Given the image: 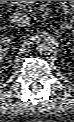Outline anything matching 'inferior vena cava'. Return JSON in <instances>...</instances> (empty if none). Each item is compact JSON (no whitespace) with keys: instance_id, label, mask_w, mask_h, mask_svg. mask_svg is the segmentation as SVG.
Listing matches in <instances>:
<instances>
[{"instance_id":"inferior-vena-cava-1","label":"inferior vena cava","mask_w":74,"mask_h":122,"mask_svg":"<svg viewBox=\"0 0 74 122\" xmlns=\"http://www.w3.org/2000/svg\"><path fill=\"white\" fill-rule=\"evenodd\" d=\"M10 21L18 27H25V26H29L30 17L24 13L14 12L10 16Z\"/></svg>"}]
</instances>
